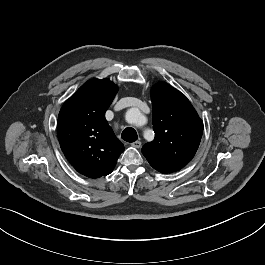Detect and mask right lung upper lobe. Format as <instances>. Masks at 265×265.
<instances>
[{
    "label": "right lung upper lobe",
    "mask_w": 265,
    "mask_h": 265,
    "mask_svg": "<svg viewBox=\"0 0 265 265\" xmlns=\"http://www.w3.org/2000/svg\"><path fill=\"white\" fill-rule=\"evenodd\" d=\"M117 90L110 80H90L65 101L59 112L61 149L76 171L89 178L110 174L124 151L105 119Z\"/></svg>",
    "instance_id": "cb5924a9"
}]
</instances>
